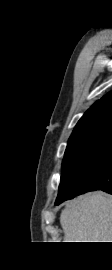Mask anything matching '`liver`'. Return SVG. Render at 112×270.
I'll list each match as a JSON object with an SVG mask.
<instances>
[{
  "mask_svg": "<svg viewBox=\"0 0 112 270\" xmlns=\"http://www.w3.org/2000/svg\"><path fill=\"white\" fill-rule=\"evenodd\" d=\"M60 223L64 242H112V196L93 192L75 199Z\"/></svg>",
  "mask_w": 112,
  "mask_h": 270,
  "instance_id": "1",
  "label": "liver"
}]
</instances>
